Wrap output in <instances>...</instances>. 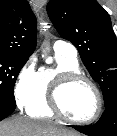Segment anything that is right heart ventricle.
<instances>
[{
	"label": "right heart ventricle",
	"mask_w": 117,
	"mask_h": 136,
	"mask_svg": "<svg viewBox=\"0 0 117 136\" xmlns=\"http://www.w3.org/2000/svg\"><path fill=\"white\" fill-rule=\"evenodd\" d=\"M57 66L55 68H41L39 70L38 93L34 100L26 107L27 114L34 118H49L53 112L49 107L48 95L55 77L66 71H79L77 59H71L56 53Z\"/></svg>",
	"instance_id": "e07e8e85"
}]
</instances>
